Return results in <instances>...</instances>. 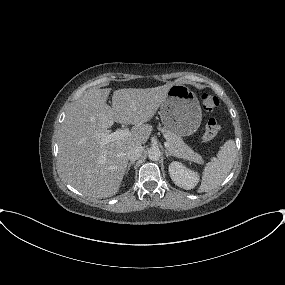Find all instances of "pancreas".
<instances>
[{"label": "pancreas", "instance_id": "obj_1", "mask_svg": "<svg viewBox=\"0 0 285 285\" xmlns=\"http://www.w3.org/2000/svg\"><path fill=\"white\" fill-rule=\"evenodd\" d=\"M167 142L170 144L168 150L176 157L186 159L196 163H202V157L195 153L189 146H187L181 137L176 133L167 129H161Z\"/></svg>", "mask_w": 285, "mask_h": 285}]
</instances>
